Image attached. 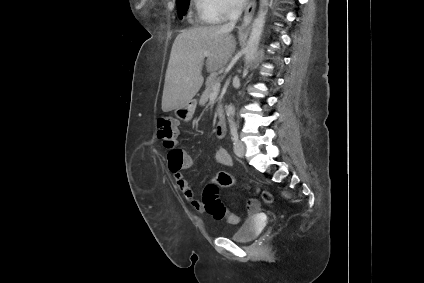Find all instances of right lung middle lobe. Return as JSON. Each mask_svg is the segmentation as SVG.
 Returning a JSON list of instances; mask_svg holds the SVG:
<instances>
[{
    "instance_id": "obj_1",
    "label": "right lung middle lobe",
    "mask_w": 424,
    "mask_h": 283,
    "mask_svg": "<svg viewBox=\"0 0 424 283\" xmlns=\"http://www.w3.org/2000/svg\"><path fill=\"white\" fill-rule=\"evenodd\" d=\"M178 15L181 18L188 10L189 0H177Z\"/></svg>"
}]
</instances>
